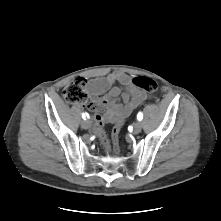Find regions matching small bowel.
Listing matches in <instances>:
<instances>
[{
	"label": "small bowel",
	"instance_id": "small-bowel-1",
	"mask_svg": "<svg viewBox=\"0 0 221 221\" xmlns=\"http://www.w3.org/2000/svg\"><path fill=\"white\" fill-rule=\"evenodd\" d=\"M119 83L120 86H113ZM93 103L91 109L96 126L99 122L109 121L121 124L131 115L133 110L150 95L133 83V78L122 72L114 71L105 77L88 81ZM119 99L121 102H119ZM101 110L105 114H101Z\"/></svg>",
	"mask_w": 221,
	"mask_h": 221
}]
</instances>
